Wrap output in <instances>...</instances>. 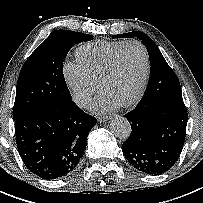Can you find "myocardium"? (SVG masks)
Masks as SVG:
<instances>
[{
    "instance_id": "f54148a6",
    "label": "myocardium",
    "mask_w": 203,
    "mask_h": 203,
    "mask_svg": "<svg viewBox=\"0 0 203 203\" xmlns=\"http://www.w3.org/2000/svg\"><path fill=\"white\" fill-rule=\"evenodd\" d=\"M130 45H135V46L139 47V49L141 50L143 57H144V73H143V77H142L140 86H139L137 92L135 93V95L128 101L122 103V106H124V107H129V106L135 104L138 100H140L147 87V83H148L149 75H150V57H149V53H148L145 45L138 40H127V41L123 42L112 54L111 58L107 62L106 66L104 67V69L100 75V78H99V89L102 91L104 83L111 76V74L114 72V70L116 68V65H117L121 52L123 51V49L125 47L130 46Z\"/></svg>"
}]
</instances>
